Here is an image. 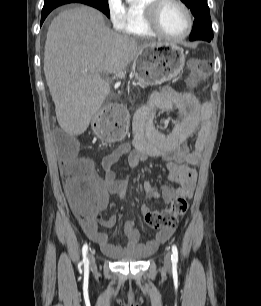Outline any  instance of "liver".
<instances>
[{
  "instance_id": "liver-1",
  "label": "liver",
  "mask_w": 261,
  "mask_h": 306,
  "mask_svg": "<svg viewBox=\"0 0 261 306\" xmlns=\"http://www.w3.org/2000/svg\"><path fill=\"white\" fill-rule=\"evenodd\" d=\"M156 44L113 32L92 7L57 15L47 32L44 73L60 127L70 135L84 133L110 93L101 75L121 73Z\"/></svg>"
}]
</instances>
